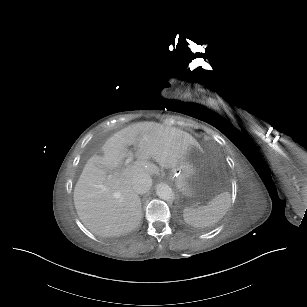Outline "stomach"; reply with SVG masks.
I'll list each match as a JSON object with an SVG mask.
<instances>
[{"instance_id":"obj_1","label":"stomach","mask_w":307,"mask_h":307,"mask_svg":"<svg viewBox=\"0 0 307 307\" xmlns=\"http://www.w3.org/2000/svg\"><path fill=\"white\" fill-rule=\"evenodd\" d=\"M201 155V148L192 146L183 161L170 172V177L176 187L184 194L190 193L193 189L192 184Z\"/></svg>"}]
</instances>
